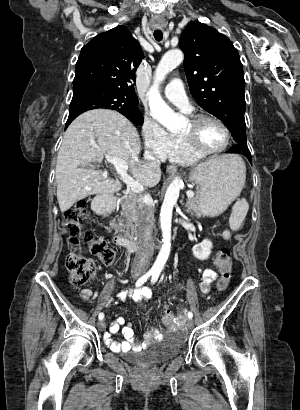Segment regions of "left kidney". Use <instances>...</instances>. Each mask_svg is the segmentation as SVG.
Returning <instances> with one entry per match:
<instances>
[{"label": "left kidney", "mask_w": 300, "mask_h": 410, "mask_svg": "<svg viewBox=\"0 0 300 410\" xmlns=\"http://www.w3.org/2000/svg\"><path fill=\"white\" fill-rule=\"evenodd\" d=\"M212 247V242L208 239H205L201 243L194 245L192 252L197 259L206 260L211 254Z\"/></svg>", "instance_id": "5707ae66"}]
</instances>
